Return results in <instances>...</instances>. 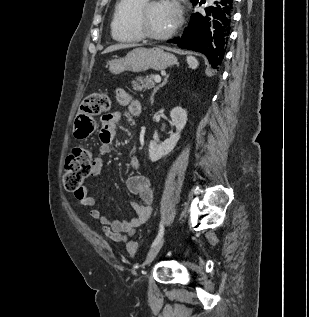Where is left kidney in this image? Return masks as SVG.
<instances>
[{"mask_svg":"<svg viewBox=\"0 0 309 317\" xmlns=\"http://www.w3.org/2000/svg\"><path fill=\"white\" fill-rule=\"evenodd\" d=\"M170 117L173 125L176 127V133L170 138L158 144L155 141L149 143V159L152 162L158 161L162 157L168 155L176 146L180 139V133L184 129L187 122V112L181 107H175L170 111Z\"/></svg>","mask_w":309,"mask_h":317,"instance_id":"1","label":"left kidney"}]
</instances>
